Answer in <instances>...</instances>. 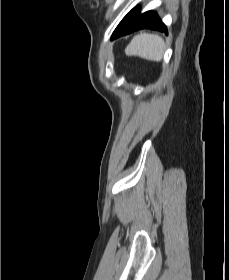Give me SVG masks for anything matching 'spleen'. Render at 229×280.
Segmentation results:
<instances>
[{
  "mask_svg": "<svg viewBox=\"0 0 229 280\" xmlns=\"http://www.w3.org/2000/svg\"><path fill=\"white\" fill-rule=\"evenodd\" d=\"M165 48L163 39L158 35L141 33L133 38L126 48V53L148 60L160 61Z\"/></svg>",
  "mask_w": 229,
  "mask_h": 280,
  "instance_id": "obj_1",
  "label": "spleen"
}]
</instances>
